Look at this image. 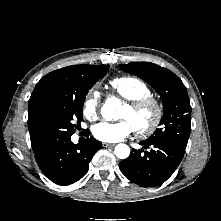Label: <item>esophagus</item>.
Masks as SVG:
<instances>
[{
	"mask_svg": "<svg viewBox=\"0 0 221 221\" xmlns=\"http://www.w3.org/2000/svg\"><path fill=\"white\" fill-rule=\"evenodd\" d=\"M102 146H103L104 148H108V147H114L115 144H111V143H105V142H103V143H102Z\"/></svg>",
	"mask_w": 221,
	"mask_h": 221,
	"instance_id": "esophagus-1",
	"label": "esophagus"
}]
</instances>
